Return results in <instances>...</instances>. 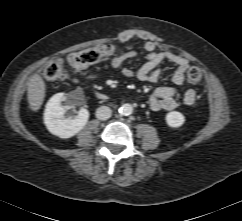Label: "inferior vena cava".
Returning <instances> with one entry per match:
<instances>
[{"label": "inferior vena cava", "mask_w": 242, "mask_h": 221, "mask_svg": "<svg viewBox=\"0 0 242 221\" xmlns=\"http://www.w3.org/2000/svg\"><path fill=\"white\" fill-rule=\"evenodd\" d=\"M112 110L108 106H101L96 110V117L99 120H107L111 117Z\"/></svg>", "instance_id": "obj_1"}]
</instances>
